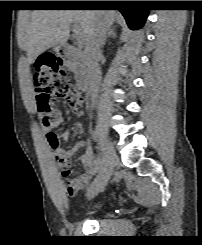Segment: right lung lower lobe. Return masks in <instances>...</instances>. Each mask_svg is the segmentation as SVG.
<instances>
[{
	"instance_id": "98d812e1",
	"label": "right lung lower lobe",
	"mask_w": 202,
	"mask_h": 245,
	"mask_svg": "<svg viewBox=\"0 0 202 245\" xmlns=\"http://www.w3.org/2000/svg\"><path fill=\"white\" fill-rule=\"evenodd\" d=\"M79 5L82 7H117L132 30L140 29L148 16V10L142 8L137 1H81Z\"/></svg>"
}]
</instances>
